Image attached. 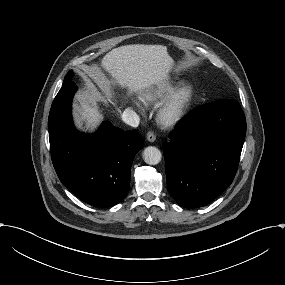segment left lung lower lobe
<instances>
[{"label": "left lung lower lobe", "instance_id": "1", "mask_svg": "<svg viewBox=\"0 0 285 285\" xmlns=\"http://www.w3.org/2000/svg\"><path fill=\"white\" fill-rule=\"evenodd\" d=\"M245 135L236 100L205 104L180 121L163 144L167 188L180 206H205L232 183Z\"/></svg>", "mask_w": 285, "mask_h": 285}]
</instances>
